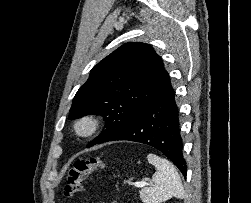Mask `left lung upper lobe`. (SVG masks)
I'll use <instances>...</instances> for the list:
<instances>
[{
	"instance_id": "obj_1",
	"label": "left lung upper lobe",
	"mask_w": 251,
	"mask_h": 203,
	"mask_svg": "<svg viewBox=\"0 0 251 203\" xmlns=\"http://www.w3.org/2000/svg\"><path fill=\"white\" fill-rule=\"evenodd\" d=\"M167 76L152 46L124 44L92 68L73 99L69 118L102 115L107 128L88 147L107 142L155 97Z\"/></svg>"
}]
</instances>
